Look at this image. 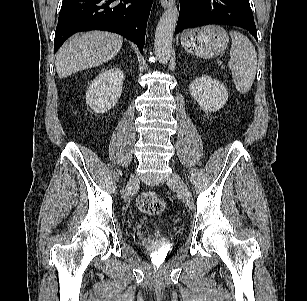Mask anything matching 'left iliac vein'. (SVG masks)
I'll use <instances>...</instances> for the list:
<instances>
[{
    "mask_svg": "<svg viewBox=\"0 0 307 301\" xmlns=\"http://www.w3.org/2000/svg\"><path fill=\"white\" fill-rule=\"evenodd\" d=\"M167 184L176 188L179 195L182 197L183 202L185 205L192 209L193 208V198L191 192L189 191L188 187L184 183L183 179L180 177L179 174L173 172L167 179Z\"/></svg>",
    "mask_w": 307,
    "mask_h": 301,
    "instance_id": "1",
    "label": "left iliac vein"
}]
</instances>
